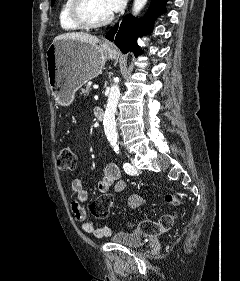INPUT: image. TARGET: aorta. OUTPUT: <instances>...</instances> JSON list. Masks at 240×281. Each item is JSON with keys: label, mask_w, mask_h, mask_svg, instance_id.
I'll return each instance as SVG.
<instances>
[{"label": "aorta", "mask_w": 240, "mask_h": 281, "mask_svg": "<svg viewBox=\"0 0 240 281\" xmlns=\"http://www.w3.org/2000/svg\"><path fill=\"white\" fill-rule=\"evenodd\" d=\"M147 0H134L132 13L137 15L145 6ZM120 98V88L117 84V81H114L110 89L108 96L107 106L104 114V132L107 137V140L111 143L117 141V131H116V122H115V113L117 109L118 100Z\"/></svg>", "instance_id": "aorta-1"}]
</instances>
